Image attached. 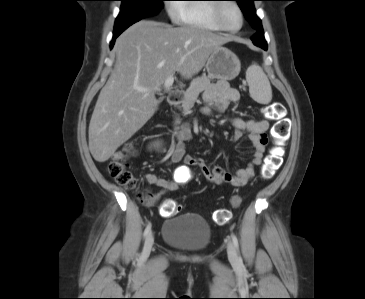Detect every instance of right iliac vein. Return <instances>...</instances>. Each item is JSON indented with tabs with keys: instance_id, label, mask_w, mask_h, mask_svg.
<instances>
[{
	"instance_id": "obj_1",
	"label": "right iliac vein",
	"mask_w": 365,
	"mask_h": 299,
	"mask_svg": "<svg viewBox=\"0 0 365 299\" xmlns=\"http://www.w3.org/2000/svg\"><path fill=\"white\" fill-rule=\"evenodd\" d=\"M154 239L152 233H149V235L146 238V241L144 243L141 260L145 261L149 257L152 247H153Z\"/></svg>"
}]
</instances>
